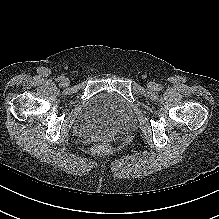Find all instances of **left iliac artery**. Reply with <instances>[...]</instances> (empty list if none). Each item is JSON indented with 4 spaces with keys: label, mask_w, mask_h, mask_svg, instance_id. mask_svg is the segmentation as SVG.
Returning a JSON list of instances; mask_svg holds the SVG:
<instances>
[{
    "label": "left iliac artery",
    "mask_w": 219,
    "mask_h": 219,
    "mask_svg": "<svg viewBox=\"0 0 219 219\" xmlns=\"http://www.w3.org/2000/svg\"><path fill=\"white\" fill-rule=\"evenodd\" d=\"M157 89H158V90H162V89H163V86H162L161 84H158V85H157Z\"/></svg>",
    "instance_id": "obj_1"
}]
</instances>
